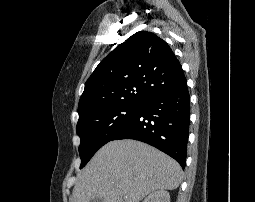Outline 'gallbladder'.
I'll use <instances>...</instances> for the list:
<instances>
[{
  "mask_svg": "<svg viewBox=\"0 0 255 202\" xmlns=\"http://www.w3.org/2000/svg\"><path fill=\"white\" fill-rule=\"evenodd\" d=\"M89 202H104V200L101 197H95V198L91 199Z\"/></svg>",
  "mask_w": 255,
  "mask_h": 202,
  "instance_id": "bac80fb5",
  "label": "gallbladder"
}]
</instances>
